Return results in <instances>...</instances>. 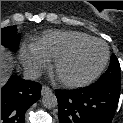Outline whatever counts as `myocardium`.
<instances>
[{
  "label": "myocardium",
  "mask_w": 123,
  "mask_h": 123,
  "mask_svg": "<svg viewBox=\"0 0 123 123\" xmlns=\"http://www.w3.org/2000/svg\"><path fill=\"white\" fill-rule=\"evenodd\" d=\"M90 43H99L104 47V51H105L104 59L101 65L98 67V69L92 75L84 79L73 80V79H66L62 77L59 72L61 65L70 57H72L79 49ZM108 60H109V49L107 45L100 39L90 38V39L79 41L73 44L68 49H66L64 52H62L53 62V73L57 81L65 87H69V88L83 87L94 82L102 74V72L104 71V69L108 64Z\"/></svg>",
  "instance_id": "f54148a6"
}]
</instances>
